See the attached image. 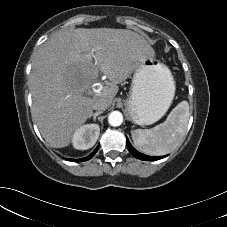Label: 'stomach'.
<instances>
[{"label":"stomach","mask_w":227,"mask_h":227,"mask_svg":"<svg viewBox=\"0 0 227 227\" xmlns=\"http://www.w3.org/2000/svg\"><path fill=\"white\" fill-rule=\"evenodd\" d=\"M175 95V81L169 68L155 57L136 66L131 90L125 101L129 118L137 125L158 121L169 109Z\"/></svg>","instance_id":"0dacf381"}]
</instances>
